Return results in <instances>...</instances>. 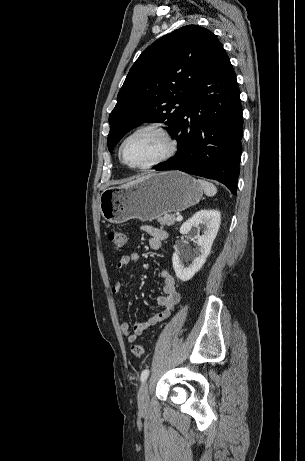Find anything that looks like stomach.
I'll return each mask as SVG.
<instances>
[{
	"label": "stomach",
	"mask_w": 305,
	"mask_h": 461,
	"mask_svg": "<svg viewBox=\"0 0 305 461\" xmlns=\"http://www.w3.org/2000/svg\"><path fill=\"white\" fill-rule=\"evenodd\" d=\"M202 195L203 189L193 177L180 171H166L145 176L130 186L104 190L99 207L103 218L111 223L134 218L151 221L196 205Z\"/></svg>",
	"instance_id": "obj_1"
}]
</instances>
